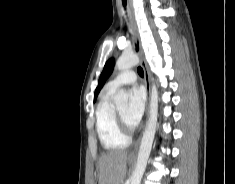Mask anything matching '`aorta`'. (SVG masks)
<instances>
[{"instance_id": "obj_1", "label": "aorta", "mask_w": 235, "mask_h": 184, "mask_svg": "<svg viewBox=\"0 0 235 184\" xmlns=\"http://www.w3.org/2000/svg\"><path fill=\"white\" fill-rule=\"evenodd\" d=\"M139 62L140 60L138 56H136V54H123V56H120V58H118L116 62V68L117 70H129V68H132V66H137ZM128 98H129L128 92H125V90H118L114 98V104H116V106H125V104H128ZM157 118H158V90L155 84H152L147 128H145V132L141 140L135 172H133L131 176V184H141L142 176L147 166V160L150 156L156 132Z\"/></svg>"}]
</instances>
